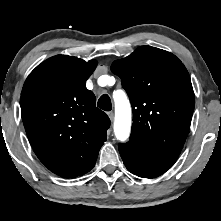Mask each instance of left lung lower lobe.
I'll return each instance as SVG.
<instances>
[{
  "label": "left lung lower lobe",
  "instance_id": "left-lung-lower-lobe-1",
  "mask_svg": "<svg viewBox=\"0 0 221 221\" xmlns=\"http://www.w3.org/2000/svg\"><path fill=\"white\" fill-rule=\"evenodd\" d=\"M119 152L126 168L143 178H154L163 174L176 160L150 155L129 142L119 144Z\"/></svg>",
  "mask_w": 221,
  "mask_h": 221
}]
</instances>
